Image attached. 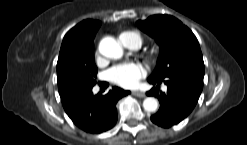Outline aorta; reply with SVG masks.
I'll use <instances>...</instances> for the list:
<instances>
[{
    "label": "aorta",
    "mask_w": 247,
    "mask_h": 145,
    "mask_svg": "<svg viewBox=\"0 0 247 145\" xmlns=\"http://www.w3.org/2000/svg\"><path fill=\"white\" fill-rule=\"evenodd\" d=\"M100 53L111 59H119L123 56L122 46L112 37H105L99 45ZM143 108L148 112H154L158 108V101L154 97H147L143 101Z\"/></svg>",
    "instance_id": "aorta-1"
}]
</instances>
